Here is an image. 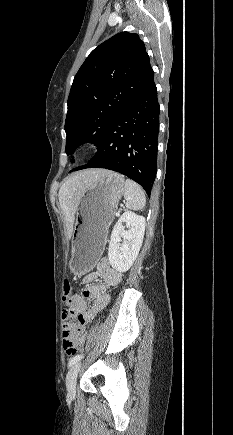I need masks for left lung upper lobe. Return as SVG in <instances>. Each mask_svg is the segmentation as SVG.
<instances>
[{
    "mask_svg": "<svg viewBox=\"0 0 233 435\" xmlns=\"http://www.w3.org/2000/svg\"><path fill=\"white\" fill-rule=\"evenodd\" d=\"M154 77L144 42L121 32L96 47L74 77L65 122L66 154L100 144L112 122Z\"/></svg>",
    "mask_w": 233,
    "mask_h": 435,
    "instance_id": "1",
    "label": "left lung upper lobe"
}]
</instances>
